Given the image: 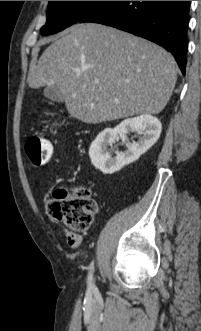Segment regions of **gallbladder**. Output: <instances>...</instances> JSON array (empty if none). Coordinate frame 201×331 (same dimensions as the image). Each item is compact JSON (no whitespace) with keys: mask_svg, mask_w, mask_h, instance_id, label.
<instances>
[{"mask_svg":"<svg viewBox=\"0 0 201 331\" xmlns=\"http://www.w3.org/2000/svg\"><path fill=\"white\" fill-rule=\"evenodd\" d=\"M44 96L55 102L64 101V94L57 85L46 87L44 89Z\"/></svg>","mask_w":201,"mask_h":331,"instance_id":"obj_1","label":"gallbladder"}]
</instances>
